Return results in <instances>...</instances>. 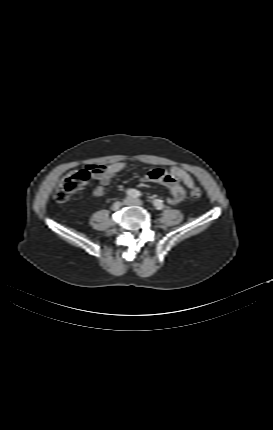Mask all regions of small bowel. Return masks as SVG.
<instances>
[{
  "label": "small bowel",
  "mask_w": 273,
  "mask_h": 430,
  "mask_svg": "<svg viewBox=\"0 0 273 430\" xmlns=\"http://www.w3.org/2000/svg\"><path fill=\"white\" fill-rule=\"evenodd\" d=\"M129 166L127 161H119L110 165L106 164H90L84 167L86 174L99 182L98 186L93 191L94 196L102 197L106 194V187L110 180L117 173L126 169ZM142 181H153L165 185L170 190V196L167 198V203L174 205L181 202L185 197V188H194L195 182L192 176L180 167H173L169 170L163 168H155L150 170Z\"/></svg>",
  "instance_id": "small-bowel-1"
}]
</instances>
